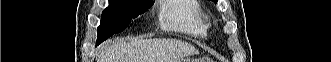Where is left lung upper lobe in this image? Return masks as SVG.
Masks as SVG:
<instances>
[{
  "label": "left lung upper lobe",
  "mask_w": 331,
  "mask_h": 62,
  "mask_svg": "<svg viewBox=\"0 0 331 62\" xmlns=\"http://www.w3.org/2000/svg\"><path fill=\"white\" fill-rule=\"evenodd\" d=\"M214 2H217L218 0H213Z\"/></svg>",
  "instance_id": "obj_1"
}]
</instances>
